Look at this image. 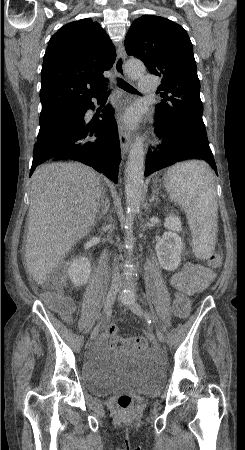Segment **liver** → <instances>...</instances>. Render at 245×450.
Listing matches in <instances>:
<instances>
[{
    "mask_svg": "<svg viewBox=\"0 0 245 450\" xmlns=\"http://www.w3.org/2000/svg\"><path fill=\"white\" fill-rule=\"evenodd\" d=\"M103 186L82 163H49L33 173L25 263L43 284L71 248L95 226Z\"/></svg>",
    "mask_w": 245,
    "mask_h": 450,
    "instance_id": "6515ba94",
    "label": "liver"
}]
</instances>
